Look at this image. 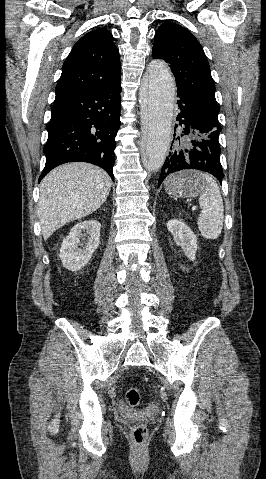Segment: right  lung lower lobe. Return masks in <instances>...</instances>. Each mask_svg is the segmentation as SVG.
Returning a JSON list of instances; mask_svg holds the SVG:
<instances>
[{
  "label": "right lung lower lobe",
  "mask_w": 266,
  "mask_h": 479,
  "mask_svg": "<svg viewBox=\"0 0 266 479\" xmlns=\"http://www.w3.org/2000/svg\"><path fill=\"white\" fill-rule=\"evenodd\" d=\"M121 81L57 94L46 126L41 179L67 162H88L103 168L114 181L115 136L120 127Z\"/></svg>",
  "instance_id": "right-lung-lower-lobe-1"
}]
</instances>
